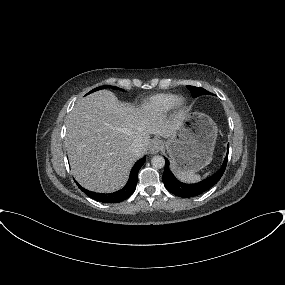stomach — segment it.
<instances>
[{
	"label": "stomach",
	"instance_id": "0dacf381",
	"mask_svg": "<svg viewBox=\"0 0 285 285\" xmlns=\"http://www.w3.org/2000/svg\"><path fill=\"white\" fill-rule=\"evenodd\" d=\"M189 125H181L166 142V150L175 173H195L211 160L218 128L207 115L196 113L188 117Z\"/></svg>",
	"mask_w": 285,
	"mask_h": 285
}]
</instances>
